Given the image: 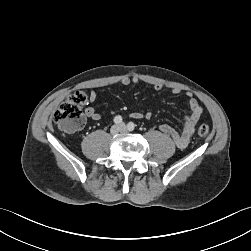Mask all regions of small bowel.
Here are the masks:
<instances>
[{"instance_id": "obj_1", "label": "small bowel", "mask_w": 251, "mask_h": 251, "mask_svg": "<svg viewBox=\"0 0 251 251\" xmlns=\"http://www.w3.org/2000/svg\"><path fill=\"white\" fill-rule=\"evenodd\" d=\"M140 79L138 77H129L124 76L120 79V84L122 85H129V84H138ZM153 88L156 91L162 89V85L157 83L153 85ZM174 94L181 93V89L173 88L171 90ZM188 97V105H189V113L183 119V128L182 132H177L174 128L170 127L169 125L163 124L160 126V130L165 134L169 135L175 145L178 148H185L189 145L194 133L195 127L200 119L202 114V107L196 100V98L192 95V93H187ZM97 99V93L95 91H91L88 96V100L90 102H94ZM85 115L86 117L98 121L101 119L100 113H98L93 107L88 106L85 108ZM134 119H150L152 117V113L147 112H133L130 115Z\"/></svg>"}]
</instances>
